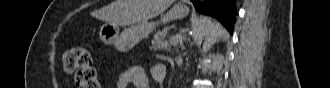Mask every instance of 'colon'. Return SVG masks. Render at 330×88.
I'll list each match as a JSON object with an SVG mask.
<instances>
[{"label": "colon", "instance_id": "colon-1", "mask_svg": "<svg viewBox=\"0 0 330 88\" xmlns=\"http://www.w3.org/2000/svg\"><path fill=\"white\" fill-rule=\"evenodd\" d=\"M63 71L66 75H75L81 88H99L98 73L90 51L82 46H76L64 52Z\"/></svg>", "mask_w": 330, "mask_h": 88}]
</instances>
